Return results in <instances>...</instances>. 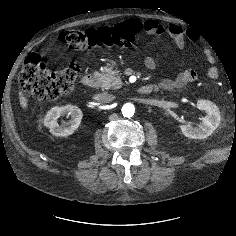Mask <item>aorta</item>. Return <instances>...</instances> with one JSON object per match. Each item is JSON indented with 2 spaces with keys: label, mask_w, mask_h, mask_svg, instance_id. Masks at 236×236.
Segmentation results:
<instances>
[{
  "label": "aorta",
  "mask_w": 236,
  "mask_h": 236,
  "mask_svg": "<svg viewBox=\"0 0 236 236\" xmlns=\"http://www.w3.org/2000/svg\"><path fill=\"white\" fill-rule=\"evenodd\" d=\"M121 111L124 117L130 118L135 113V106L132 103H125Z\"/></svg>",
  "instance_id": "aorta-1"
}]
</instances>
